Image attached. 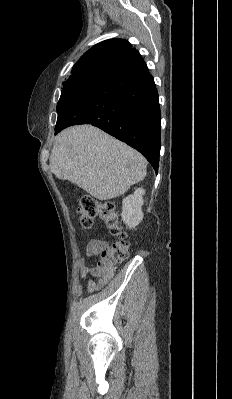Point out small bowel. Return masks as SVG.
Listing matches in <instances>:
<instances>
[{"mask_svg": "<svg viewBox=\"0 0 232 399\" xmlns=\"http://www.w3.org/2000/svg\"><path fill=\"white\" fill-rule=\"evenodd\" d=\"M100 251H101L100 245L96 241L90 240L87 243L85 258L91 259L97 256L100 253ZM85 258H82L79 262V271L81 277H83L87 281L86 292L88 294H92L95 287L93 280L95 276V271L92 267H90L85 263Z\"/></svg>", "mask_w": 232, "mask_h": 399, "instance_id": "obj_1", "label": "small bowel"}]
</instances>
